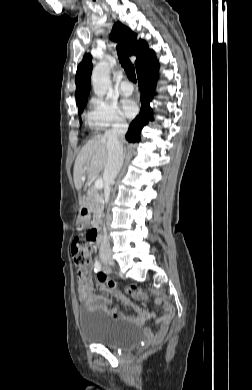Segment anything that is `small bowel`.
Segmentation results:
<instances>
[{"label": "small bowel", "mask_w": 252, "mask_h": 390, "mask_svg": "<svg viewBox=\"0 0 252 390\" xmlns=\"http://www.w3.org/2000/svg\"><path fill=\"white\" fill-rule=\"evenodd\" d=\"M95 269V264L90 262V264L78 274V297L79 300L83 303V305L90 311H99L103 312L112 318L128 320L131 322L144 323V321L149 317V314L144 311L142 308L134 305L119 289L116 288L115 283L110 280L105 273H101L98 275V279L96 282V288L98 290H106L109 289L110 294L121 301L124 305L132 309L135 313L134 316H126L122 314L116 308H110L111 300L107 297L101 296L94 291L93 285V270ZM128 292L132 293L136 298L147 300L149 298V294L141 291H132L128 290ZM157 305L163 307L165 313L158 320L159 323V332L154 334L153 332H149L151 338H158L160 335L164 334L170 325L171 319L174 315L173 307L164 301V299L155 295Z\"/></svg>", "instance_id": "small-bowel-1"}]
</instances>
